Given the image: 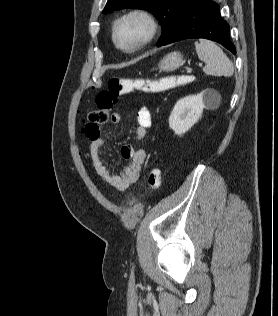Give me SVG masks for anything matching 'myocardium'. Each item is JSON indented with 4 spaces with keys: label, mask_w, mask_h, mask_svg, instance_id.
<instances>
[{
    "label": "myocardium",
    "mask_w": 278,
    "mask_h": 316,
    "mask_svg": "<svg viewBox=\"0 0 278 316\" xmlns=\"http://www.w3.org/2000/svg\"><path fill=\"white\" fill-rule=\"evenodd\" d=\"M130 20H136L144 25L145 32L142 38L132 46L126 47L120 44L117 38L118 27ZM158 32V22L155 16L147 9L141 7L131 8L119 15L112 24L111 37L114 45L125 53L137 52L149 45Z\"/></svg>",
    "instance_id": "obj_1"
}]
</instances>
